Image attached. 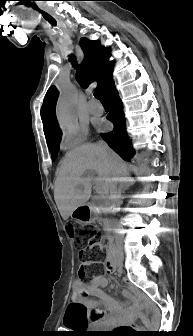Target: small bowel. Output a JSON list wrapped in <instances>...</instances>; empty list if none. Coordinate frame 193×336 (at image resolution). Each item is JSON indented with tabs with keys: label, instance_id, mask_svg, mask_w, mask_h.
Returning <instances> with one entry per match:
<instances>
[{
	"label": "small bowel",
	"instance_id": "obj_1",
	"mask_svg": "<svg viewBox=\"0 0 193 336\" xmlns=\"http://www.w3.org/2000/svg\"><path fill=\"white\" fill-rule=\"evenodd\" d=\"M105 272L108 275L114 273V268L108 262L105 264ZM107 285L108 280L102 274L94 276L89 282L76 279L72 285L73 301L65 325L71 327L87 322H102V326H110L128 323L131 320V309L109 297L104 292ZM124 296L133 298L129 291H124Z\"/></svg>",
	"mask_w": 193,
	"mask_h": 336
}]
</instances>
